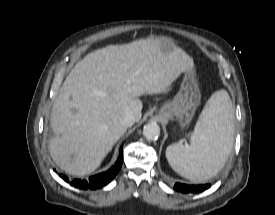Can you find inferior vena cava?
<instances>
[{
    "label": "inferior vena cava",
    "instance_id": "602c4592",
    "mask_svg": "<svg viewBox=\"0 0 275 215\" xmlns=\"http://www.w3.org/2000/svg\"><path fill=\"white\" fill-rule=\"evenodd\" d=\"M135 118L131 111H127L125 115L120 120V125L124 127H130L134 124Z\"/></svg>",
    "mask_w": 275,
    "mask_h": 215
}]
</instances>
